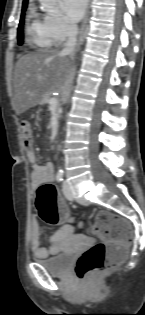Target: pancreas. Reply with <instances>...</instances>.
<instances>
[{
  "instance_id": "cf45deb5",
  "label": "pancreas",
  "mask_w": 145,
  "mask_h": 315,
  "mask_svg": "<svg viewBox=\"0 0 145 315\" xmlns=\"http://www.w3.org/2000/svg\"><path fill=\"white\" fill-rule=\"evenodd\" d=\"M49 100H50V97L47 95V96H45L44 97V99L42 100V104H47V103H49Z\"/></svg>"
}]
</instances>
